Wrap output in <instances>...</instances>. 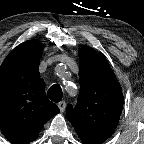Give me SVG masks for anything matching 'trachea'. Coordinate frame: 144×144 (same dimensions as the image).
<instances>
[{
  "label": "trachea",
  "instance_id": "obj_1",
  "mask_svg": "<svg viewBox=\"0 0 144 144\" xmlns=\"http://www.w3.org/2000/svg\"><path fill=\"white\" fill-rule=\"evenodd\" d=\"M47 95L53 102H60L62 100V89L59 85L54 84L47 91Z\"/></svg>",
  "mask_w": 144,
  "mask_h": 144
}]
</instances>
